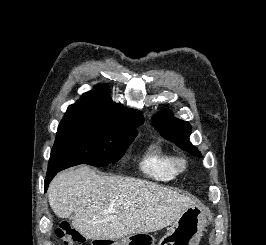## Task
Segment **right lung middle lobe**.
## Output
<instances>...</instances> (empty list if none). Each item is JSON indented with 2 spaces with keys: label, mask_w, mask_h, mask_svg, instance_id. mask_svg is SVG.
Listing matches in <instances>:
<instances>
[{
  "label": "right lung middle lobe",
  "mask_w": 266,
  "mask_h": 245,
  "mask_svg": "<svg viewBox=\"0 0 266 245\" xmlns=\"http://www.w3.org/2000/svg\"><path fill=\"white\" fill-rule=\"evenodd\" d=\"M140 125H127L96 116L64 117L58 127L48 171L78 164L106 166L118 161Z\"/></svg>",
  "instance_id": "dd1d6c3e"
}]
</instances>
